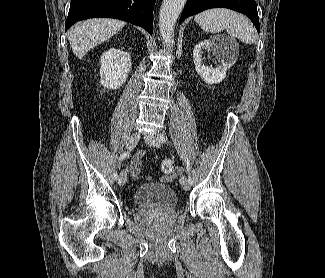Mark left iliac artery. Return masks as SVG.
<instances>
[{"mask_svg":"<svg viewBox=\"0 0 325 278\" xmlns=\"http://www.w3.org/2000/svg\"><path fill=\"white\" fill-rule=\"evenodd\" d=\"M157 139L160 141V142H166L167 141V136L163 135V134H160L157 136ZM187 174H188V182L190 185H193V180L191 178V173H190V168H189V165L187 164Z\"/></svg>","mask_w":325,"mask_h":278,"instance_id":"obj_1","label":"left iliac artery"}]
</instances>
